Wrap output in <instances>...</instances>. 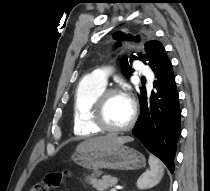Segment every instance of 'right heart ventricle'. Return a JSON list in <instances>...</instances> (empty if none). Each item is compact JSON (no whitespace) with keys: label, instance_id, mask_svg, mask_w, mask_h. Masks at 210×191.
I'll use <instances>...</instances> for the list:
<instances>
[{"label":"right heart ventricle","instance_id":"1","mask_svg":"<svg viewBox=\"0 0 210 191\" xmlns=\"http://www.w3.org/2000/svg\"><path fill=\"white\" fill-rule=\"evenodd\" d=\"M106 85L90 78H84L78 84L73 106V132L80 137L98 134L100 130L90 121V112L95 98L105 89Z\"/></svg>","mask_w":210,"mask_h":191}]
</instances>
